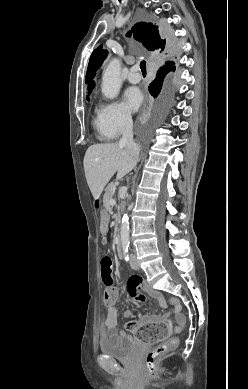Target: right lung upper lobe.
<instances>
[{
    "mask_svg": "<svg viewBox=\"0 0 248 389\" xmlns=\"http://www.w3.org/2000/svg\"><path fill=\"white\" fill-rule=\"evenodd\" d=\"M132 34L134 39L141 42L147 50L164 60V66L162 70L158 72L153 84L160 82L162 78L174 68L175 63L173 62V59L176 58L178 52L176 46L169 44L162 28L153 23H137L132 27V30L127 33V36L130 37ZM106 56L107 50H103L102 45L93 51L88 64L85 80L86 84H89V90L94 87V82L92 80L95 77V72L101 66Z\"/></svg>",
    "mask_w": 248,
    "mask_h": 389,
    "instance_id": "cb5924a9",
    "label": "right lung upper lobe"
}]
</instances>
